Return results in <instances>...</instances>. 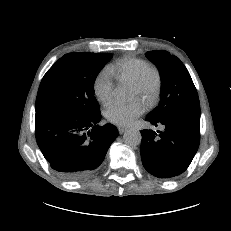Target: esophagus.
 I'll list each match as a JSON object with an SVG mask.
<instances>
[{
  "instance_id": "1",
  "label": "esophagus",
  "mask_w": 231,
  "mask_h": 231,
  "mask_svg": "<svg viewBox=\"0 0 231 231\" xmlns=\"http://www.w3.org/2000/svg\"><path fill=\"white\" fill-rule=\"evenodd\" d=\"M127 129H128L127 127H123V126L118 127V131L120 134H123L125 131H127Z\"/></svg>"
}]
</instances>
